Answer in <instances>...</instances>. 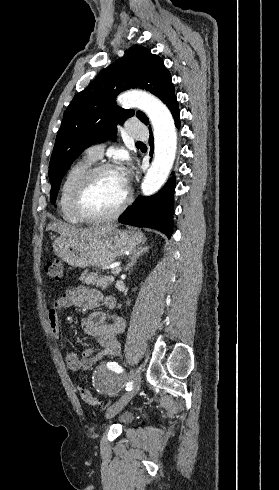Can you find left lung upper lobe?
<instances>
[{"label": "left lung upper lobe", "instance_id": "5c2ea615", "mask_svg": "<svg viewBox=\"0 0 279 490\" xmlns=\"http://www.w3.org/2000/svg\"><path fill=\"white\" fill-rule=\"evenodd\" d=\"M129 88L146 89L166 105L175 96L170 72L163 60L141 45L101 71L95 80L78 93L67 107L58 131L49 164L50 200L54 204L61 179L73 161L92 143L114 137L116 125L134 115L115 104L116 96ZM136 116L146 125L142 112Z\"/></svg>", "mask_w": 279, "mask_h": 490}]
</instances>
